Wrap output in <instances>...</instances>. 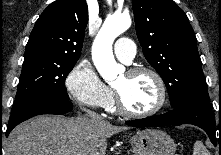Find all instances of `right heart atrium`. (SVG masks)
<instances>
[{
    "label": "right heart atrium",
    "instance_id": "right-heart-atrium-1",
    "mask_svg": "<svg viewBox=\"0 0 221 155\" xmlns=\"http://www.w3.org/2000/svg\"><path fill=\"white\" fill-rule=\"evenodd\" d=\"M65 85L70 96L86 107L103 108L111 97V90L87 61H81L72 68Z\"/></svg>",
    "mask_w": 221,
    "mask_h": 155
}]
</instances>
